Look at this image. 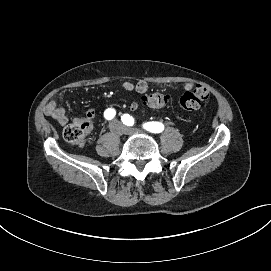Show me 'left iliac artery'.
I'll use <instances>...</instances> for the list:
<instances>
[{"instance_id": "left-iliac-artery-1", "label": "left iliac artery", "mask_w": 271, "mask_h": 271, "mask_svg": "<svg viewBox=\"0 0 271 271\" xmlns=\"http://www.w3.org/2000/svg\"><path fill=\"white\" fill-rule=\"evenodd\" d=\"M121 120L126 126H132L135 123V118L131 114H124ZM143 128L151 133H160L164 130V125L160 122H148L143 124Z\"/></svg>"}]
</instances>
